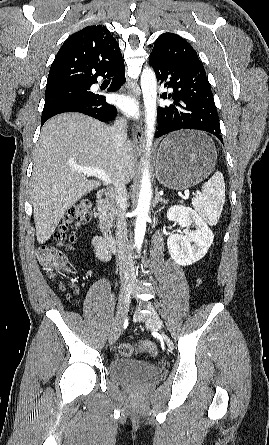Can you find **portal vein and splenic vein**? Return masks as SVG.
Wrapping results in <instances>:
<instances>
[{"mask_svg": "<svg viewBox=\"0 0 269 445\" xmlns=\"http://www.w3.org/2000/svg\"><path fill=\"white\" fill-rule=\"evenodd\" d=\"M76 171L87 174L88 176H95L97 178H99L100 180H102L105 184H110L111 180L109 178V176L106 174V172H104L103 170L99 169V168H94V167H75L74 168ZM185 194V199L189 198V190H186L184 192Z\"/></svg>", "mask_w": 269, "mask_h": 445, "instance_id": "portal-vein-and-splenic-vein-1", "label": "portal vein and splenic vein"}]
</instances>
